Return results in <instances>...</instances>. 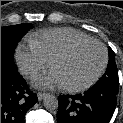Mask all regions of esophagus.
<instances>
[{
  "label": "esophagus",
  "instance_id": "34e87169",
  "mask_svg": "<svg viewBox=\"0 0 123 123\" xmlns=\"http://www.w3.org/2000/svg\"><path fill=\"white\" fill-rule=\"evenodd\" d=\"M47 95H48L47 93L39 92V93L37 94L38 100H39V101L43 100Z\"/></svg>",
  "mask_w": 123,
  "mask_h": 123
}]
</instances>
